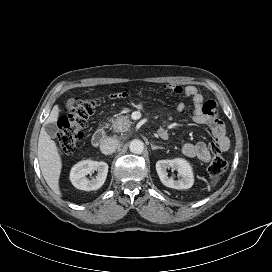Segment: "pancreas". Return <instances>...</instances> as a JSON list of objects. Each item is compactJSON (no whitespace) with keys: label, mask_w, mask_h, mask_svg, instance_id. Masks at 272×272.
<instances>
[{"label":"pancreas","mask_w":272,"mask_h":272,"mask_svg":"<svg viewBox=\"0 0 272 272\" xmlns=\"http://www.w3.org/2000/svg\"><path fill=\"white\" fill-rule=\"evenodd\" d=\"M111 127L115 132H126L129 130L132 122L129 120V116H117L116 119L111 120Z\"/></svg>","instance_id":"1"}]
</instances>
